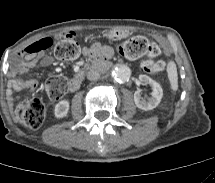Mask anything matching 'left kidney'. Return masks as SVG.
Wrapping results in <instances>:
<instances>
[{
    "mask_svg": "<svg viewBox=\"0 0 215 183\" xmlns=\"http://www.w3.org/2000/svg\"><path fill=\"white\" fill-rule=\"evenodd\" d=\"M140 82L144 84H149L152 88V97L149 98L147 101L144 100L140 94V91H135L134 93V102L136 106L143 110H152L156 108L163 96V90L160 84L153 79H151L147 75H140L139 76Z\"/></svg>",
    "mask_w": 215,
    "mask_h": 183,
    "instance_id": "5707ae66",
    "label": "left kidney"
}]
</instances>
